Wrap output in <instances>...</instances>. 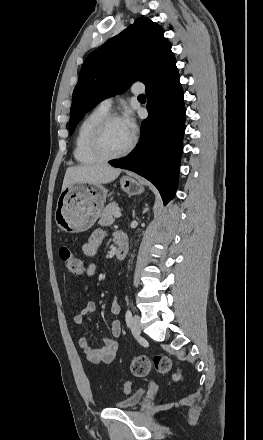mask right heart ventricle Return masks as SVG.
Instances as JSON below:
<instances>
[{"label":"right heart ventricle","instance_id":"right-heart-ventricle-1","mask_svg":"<svg viewBox=\"0 0 263 440\" xmlns=\"http://www.w3.org/2000/svg\"><path fill=\"white\" fill-rule=\"evenodd\" d=\"M108 110L98 106L91 110L78 126L74 140V158L80 164H92L101 161L90 148V135L95 124L105 115Z\"/></svg>","mask_w":263,"mask_h":440}]
</instances>
